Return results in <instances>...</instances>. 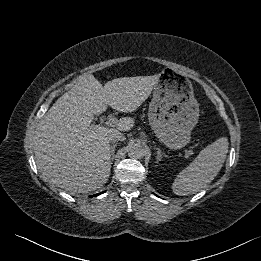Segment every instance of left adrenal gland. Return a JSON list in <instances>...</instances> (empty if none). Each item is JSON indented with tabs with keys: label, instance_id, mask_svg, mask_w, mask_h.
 Returning a JSON list of instances; mask_svg holds the SVG:
<instances>
[{
	"label": "left adrenal gland",
	"instance_id": "obj_1",
	"mask_svg": "<svg viewBox=\"0 0 261 261\" xmlns=\"http://www.w3.org/2000/svg\"><path fill=\"white\" fill-rule=\"evenodd\" d=\"M155 149L157 150V157H156V162L158 163L159 161H161V158L164 156V157H167V155H165V153H163L161 151L160 148L156 147L155 146Z\"/></svg>",
	"mask_w": 261,
	"mask_h": 261
}]
</instances>
